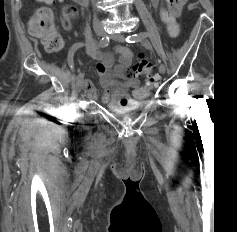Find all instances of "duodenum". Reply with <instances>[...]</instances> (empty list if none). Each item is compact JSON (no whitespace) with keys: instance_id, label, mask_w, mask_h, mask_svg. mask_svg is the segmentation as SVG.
I'll use <instances>...</instances> for the list:
<instances>
[{"instance_id":"1","label":"duodenum","mask_w":237,"mask_h":232,"mask_svg":"<svg viewBox=\"0 0 237 232\" xmlns=\"http://www.w3.org/2000/svg\"><path fill=\"white\" fill-rule=\"evenodd\" d=\"M79 5L85 6L88 3V0H74Z\"/></svg>"}]
</instances>
